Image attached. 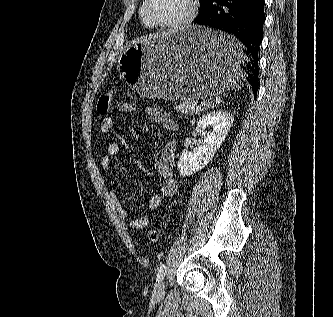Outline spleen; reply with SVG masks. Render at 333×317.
Here are the masks:
<instances>
[{
    "mask_svg": "<svg viewBox=\"0 0 333 317\" xmlns=\"http://www.w3.org/2000/svg\"><path fill=\"white\" fill-rule=\"evenodd\" d=\"M229 44L232 47H234L235 49L236 48L238 49L237 50L238 55L241 53V49H240L241 45H240V43H238V41L235 38L231 37V41H229ZM244 77H245L244 71L237 66L236 80H235L234 84L238 87L237 82L239 81L240 78H244Z\"/></svg>",
    "mask_w": 333,
    "mask_h": 317,
    "instance_id": "1",
    "label": "spleen"
}]
</instances>
